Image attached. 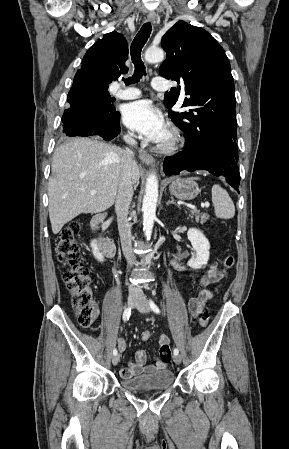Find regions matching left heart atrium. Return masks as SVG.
<instances>
[{"instance_id": "obj_1", "label": "left heart atrium", "mask_w": 289, "mask_h": 449, "mask_svg": "<svg viewBox=\"0 0 289 449\" xmlns=\"http://www.w3.org/2000/svg\"><path fill=\"white\" fill-rule=\"evenodd\" d=\"M123 122L129 129L148 141L159 142L166 134L162 115L148 100L127 104L123 110Z\"/></svg>"}]
</instances>
